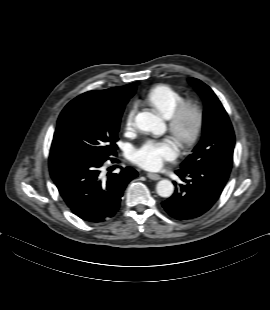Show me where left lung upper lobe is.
Masks as SVG:
<instances>
[{
	"label": "left lung upper lobe",
	"mask_w": 270,
	"mask_h": 310,
	"mask_svg": "<svg viewBox=\"0 0 270 310\" xmlns=\"http://www.w3.org/2000/svg\"><path fill=\"white\" fill-rule=\"evenodd\" d=\"M204 101L201 141L181 164V168L202 166L230 173L235 145L234 131L228 115L214 92L203 82L191 78Z\"/></svg>",
	"instance_id": "5c2ea615"
}]
</instances>
